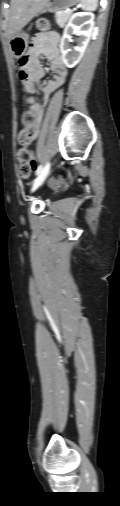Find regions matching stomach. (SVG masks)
Wrapping results in <instances>:
<instances>
[{
  "label": "stomach",
  "instance_id": "obj_1",
  "mask_svg": "<svg viewBox=\"0 0 120 506\" xmlns=\"http://www.w3.org/2000/svg\"><path fill=\"white\" fill-rule=\"evenodd\" d=\"M80 0H48V3L45 7V11L56 12L60 10H64L70 8ZM29 44V35L23 31H18L10 40L9 45L13 56L16 59L22 57L27 51Z\"/></svg>",
  "mask_w": 120,
  "mask_h": 506
}]
</instances>
